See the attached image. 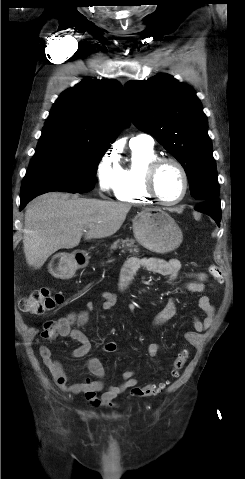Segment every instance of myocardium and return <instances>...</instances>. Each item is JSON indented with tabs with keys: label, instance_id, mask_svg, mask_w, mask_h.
<instances>
[{
	"label": "myocardium",
	"instance_id": "myocardium-1",
	"mask_svg": "<svg viewBox=\"0 0 245 479\" xmlns=\"http://www.w3.org/2000/svg\"><path fill=\"white\" fill-rule=\"evenodd\" d=\"M167 164L175 166L180 172L183 180V190L181 196L173 201L164 200L157 190V176L161 168ZM145 189L147 193L162 205L172 206L182 202L189 190V177L184 165L173 157H157L152 160L145 171Z\"/></svg>",
	"mask_w": 245,
	"mask_h": 479
}]
</instances>
